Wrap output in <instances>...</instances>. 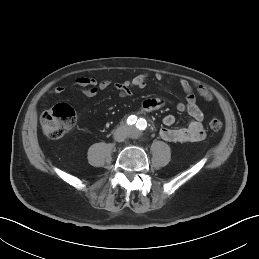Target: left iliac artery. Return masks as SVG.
Masks as SVG:
<instances>
[{
  "mask_svg": "<svg viewBox=\"0 0 259 259\" xmlns=\"http://www.w3.org/2000/svg\"><path fill=\"white\" fill-rule=\"evenodd\" d=\"M138 122H139V126H138V124H137L138 128L144 130V129L146 128V126L144 125V123H143L141 120H139ZM146 125H147V124H146Z\"/></svg>",
  "mask_w": 259,
  "mask_h": 259,
  "instance_id": "obj_1",
  "label": "left iliac artery"
}]
</instances>
